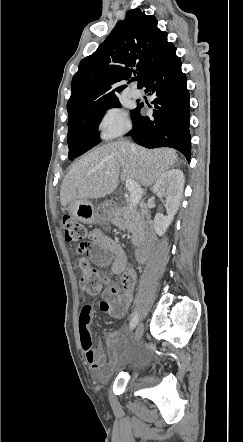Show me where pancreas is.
Returning a JSON list of instances; mask_svg holds the SVG:
<instances>
[{"label":"pancreas","mask_w":243,"mask_h":442,"mask_svg":"<svg viewBox=\"0 0 243 442\" xmlns=\"http://www.w3.org/2000/svg\"><path fill=\"white\" fill-rule=\"evenodd\" d=\"M110 220L121 229H126L132 238V243L137 245L140 241L143 223L137 210L129 207H122L111 212Z\"/></svg>","instance_id":"1"}]
</instances>
